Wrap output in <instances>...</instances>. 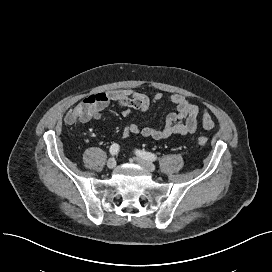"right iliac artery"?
<instances>
[{
  "instance_id": "obj_1",
  "label": "right iliac artery",
  "mask_w": 272,
  "mask_h": 272,
  "mask_svg": "<svg viewBox=\"0 0 272 272\" xmlns=\"http://www.w3.org/2000/svg\"><path fill=\"white\" fill-rule=\"evenodd\" d=\"M118 151H119V145L116 144V143H113V144L111 145V147H110V154H111L112 156H115V155H117Z\"/></svg>"
}]
</instances>
